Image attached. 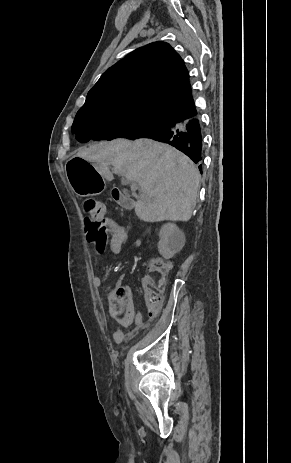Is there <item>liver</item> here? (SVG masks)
<instances>
[{
  "instance_id": "1",
  "label": "liver",
  "mask_w": 291,
  "mask_h": 463,
  "mask_svg": "<svg viewBox=\"0 0 291 463\" xmlns=\"http://www.w3.org/2000/svg\"><path fill=\"white\" fill-rule=\"evenodd\" d=\"M92 162L107 181L114 172L137 183L141 198L135 213L145 222L188 221L196 206L200 174L195 164L170 145L151 139H116L81 148L76 154Z\"/></svg>"
}]
</instances>
